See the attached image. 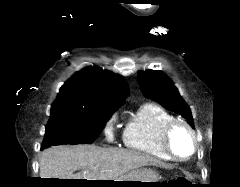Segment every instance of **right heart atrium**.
<instances>
[{
	"instance_id": "right-heart-atrium-1",
	"label": "right heart atrium",
	"mask_w": 240,
	"mask_h": 187,
	"mask_svg": "<svg viewBox=\"0 0 240 187\" xmlns=\"http://www.w3.org/2000/svg\"><path fill=\"white\" fill-rule=\"evenodd\" d=\"M117 120L116 114H112L103 126V132L106 140L112 141L114 139L115 123Z\"/></svg>"
}]
</instances>
